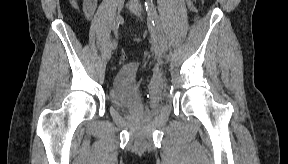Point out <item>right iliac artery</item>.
I'll use <instances>...</instances> for the list:
<instances>
[{"instance_id": "1", "label": "right iliac artery", "mask_w": 288, "mask_h": 164, "mask_svg": "<svg viewBox=\"0 0 288 164\" xmlns=\"http://www.w3.org/2000/svg\"><path fill=\"white\" fill-rule=\"evenodd\" d=\"M118 26H119V23L113 25L114 38H113V40H112V42L110 44V47L112 49H115L117 47Z\"/></svg>"}]
</instances>
